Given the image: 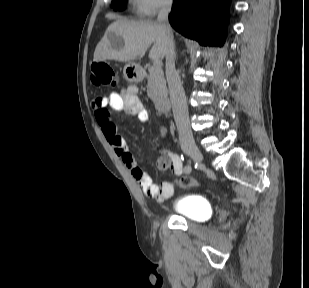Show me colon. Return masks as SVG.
<instances>
[{"label":"colon","mask_w":309,"mask_h":288,"mask_svg":"<svg viewBox=\"0 0 309 288\" xmlns=\"http://www.w3.org/2000/svg\"><path fill=\"white\" fill-rule=\"evenodd\" d=\"M93 80L97 85L114 86L117 82L113 68L104 63H97L94 66ZM181 187H193L198 185V181L190 177H182L177 181Z\"/></svg>","instance_id":"colon-1"}]
</instances>
